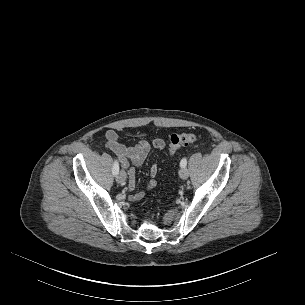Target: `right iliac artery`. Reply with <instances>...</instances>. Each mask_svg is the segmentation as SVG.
Here are the masks:
<instances>
[{"label":"right iliac artery","mask_w":305,"mask_h":305,"mask_svg":"<svg viewBox=\"0 0 305 305\" xmlns=\"http://www.w3.org/2000/svg\"><path fill=\"white\" fill-rule=\"evenodd\" d=\"M112 171H113V174H114V175H117L118 172H119V163H118L117 160L114 161L113 170H112Z\"/></svg>","instance_id":"82829eb1"}]
</instances>
